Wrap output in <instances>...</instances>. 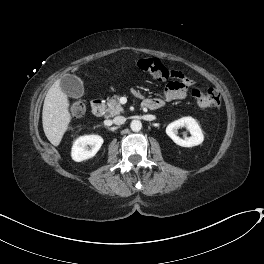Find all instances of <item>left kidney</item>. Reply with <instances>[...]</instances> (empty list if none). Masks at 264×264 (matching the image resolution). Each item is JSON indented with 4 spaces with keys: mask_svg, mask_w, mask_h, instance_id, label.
<instances>
[{
    "mask_svg": "<svg viewBox=\"0 0 264 264\" xmlns=\"http://www.w3.org/2000/svg\"><path fill=\"white\" fill-rule=\"evenodd\" d=\"M186 127L191 136L184 139L178 136V129ZM167 135L177 144L182 147H192L201 144L204 140L202 130L195 119L192 117H183L166 127Z\"/></svg>",
    "mask_w": 264,
    "mask_h": 264,
    "instance_id": "obj_1",
    "label": "left kidney"
}]
</instances>
